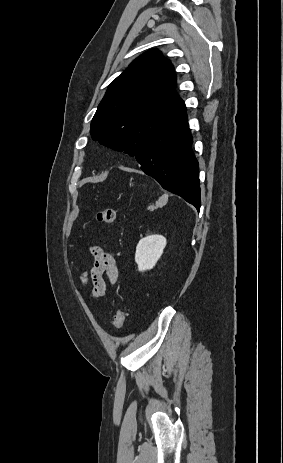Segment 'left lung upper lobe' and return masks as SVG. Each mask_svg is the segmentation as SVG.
<instances>
[{
	"instance_id": "1",
	"label": "left lung upper lobe",
	"mask_w": 283,
	"mask_h": 463,
	"mask_svg": "<svg viewBox=\"0 0 283 463\" xmlns=\"http://www.w3.org/2000/svg\"><path fill=\"white\" fill-rule=\"evenodd\" d=\"M175 86L173 65L158 50L139 56L109 85L91 122L92 138L136 156L185 109Z\"/></svg>"
}]
</instances>
